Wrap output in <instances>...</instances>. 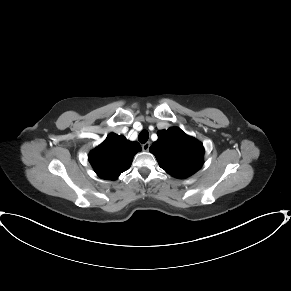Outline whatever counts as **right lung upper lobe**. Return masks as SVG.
I'll list each match as a JSON object with an SVG mask.
<instances>
[{
    "label": "right lung upper lobe",
    "instance_id": "right-lung-upper-lobe-1",
    "mask_svg": "<svg viewBox=\"0 0 291 291\" xmlns=\"http://www.w3.org/2000/svg\"><path fill=\"white\" fill-rule=\"evenodd\" d=\"M140 150L138 142L110 133L103 143L90 152L89 161L100 178L116 180L129 169L134 155Z\"/></svg>",
    "mask_w": 291,
    "mask_h": 291
}]
</instances>
